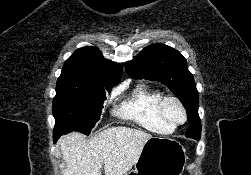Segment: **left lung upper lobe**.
I'll list each match as a JSON object with an SVG mask.
<instances>
[{
    "label": "left lung upper lobe",
    "mask_w": 251,
    "mask_h": 175,
    "mask_svg": "<svg viewBox=\"0 0 251 175\" xmlns=\"http://www.w3.org/2000/svg\"><path fill=\"white\" fill-rule=\"evenodd\" d=\"M126 73L133 79H149L165 84L189 114L190 125L186 136L200 139L199 93L186 59L176 49L160 43L149 45L134 60L126 63Z\"/></svg>",
    "instance_id": "left-lung-upper-lobe-1"
}]
</instances>
